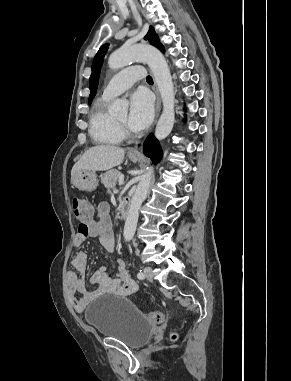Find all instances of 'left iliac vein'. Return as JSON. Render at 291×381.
Wrapping results in <instances>:
<instances>
[{"instance_id":"1","label":"left iliac vein","mask_w":291,"mask_h":381,"mask_svg":"<svg viewBox=\"0 0 291 381\" xmlns=\"http://www.w3.org/2000/svg\"><path fill=\"white\" fill-rule=\"evenodd\" d=\"M144 275L148 280L153 279V270L151 267H145L144 268Z\"/></svg>"}]
</instances>
